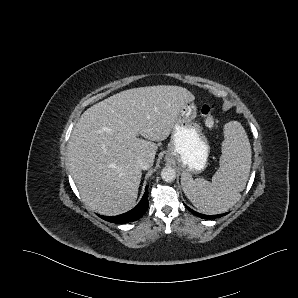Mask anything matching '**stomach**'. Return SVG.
Returning a JSON list of instances; mask_svg holds the SVG:
<instances>
[{"label":"stomach","instance_id":"1","mask_svg":"<svg viewBox=\"0 0 298 298\" xmlns=\"http://www.w3.org/2000/svg\"><path fill=\"white\" fill-rule=\"evenodd\" d=\"M196 117V104L186 102L179 110L164 157L166 162L176 164L183 174H200L208 164L210 145ZM181 182L184 187V181Z\"/></svg>","mask_w":298,"mask_h":298}]
</instances>
